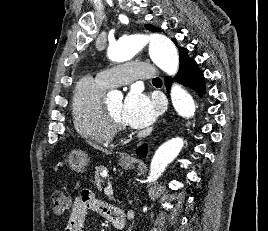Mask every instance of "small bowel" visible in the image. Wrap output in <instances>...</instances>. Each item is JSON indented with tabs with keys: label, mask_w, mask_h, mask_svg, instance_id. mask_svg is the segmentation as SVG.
<instances>
[{
	"label": "small bowel",
	"mask_w": 268,
	"mask_h": 231,
	"mask_svg": "<svg viewBox=\"0 0 268 231\" xmlns=\"http://www.w3.org/2000/svg\"><path fill=\"white\" fill-rule=\"evenodd\" d=\"M95 211L110 220L112 208L95 199L93 193L86 189L74 200L64 231H83V223L88 211Z\"/></svg>",
	"instance_id": "1"
}]
</instances>
